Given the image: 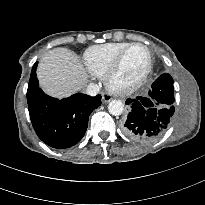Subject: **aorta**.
<instances>
[{"label":"aorta","instance_id":"aorta-1","mask_svg":"<svg viewBox=\"0 0 205 205\" xmlns=\"http://www.w3.org/2000/svg\"><path fill=\"white\" fill-rule=\"evenodd\" d=\"M108 111L111 115L119 116L124 111V104L120 100H112L108 104Z\"/></svg>","mask_w":205,"mask_h":205}]
</instances>
